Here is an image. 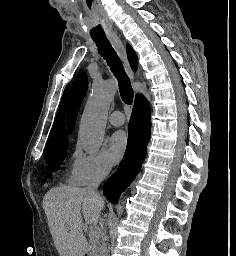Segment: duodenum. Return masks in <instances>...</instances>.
<instances>
[{"mask_svg": "<svg viewBox=\"0 0 236 256\" xmlns=\"http://www.w3.org/2000/svg\"><path fill=\"white\" fill-rule=\"evenodd\" d=\"M82 255L83 256H89V251H88V249L86 247H84Z\"/></svg>", "mask_w": 236, "mask_h": 256, "instance_id": "1", "label": "duodenum"}]
</instances>
